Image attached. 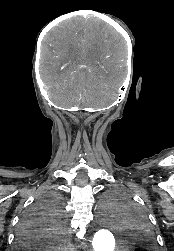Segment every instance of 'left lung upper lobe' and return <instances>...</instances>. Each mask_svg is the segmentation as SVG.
<instances>
[{"label":"left lung upper lobe","mask_w":174,"mask_h":251,"mask_svg":"<svg viewBox=\"0 0 174 251\" xmlns=\"http://www.w3.org/2000/svg\"><path fill=\"white\" fill-rule=\"evenodd\" d=\"M125 206V216L133 228L129 236L130 249L132 251H157L155 235L145 216L130 203H126Z\"/></svg>","instance_id":"left-lung-upper-lobe-1"}]
</instances>
